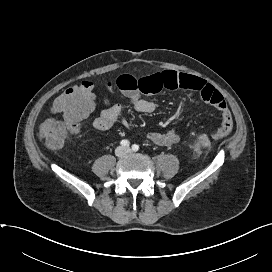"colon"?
Instances as JSON below:
<instances>
[{"instance_id": "obj_1", "label": "colon", "mask_w": 272, "mask_h": 272, "mask_svg": "<svg viewBox=\"0 0 272 272\" xmlns=\"http://www.w3.org/2000/svg\"><path fill=\"white\" fill-rule=\"evenodd\" d=\"M95 94L93 83L83 80L80 84L65 89L54 101L52 110L62 118L52 116L45 120L39 128V134L49 149H57L65 140L77 132L79 122L93 109ZM211 139L207 135L197 137L196 150L208 148Z\"/></svg>"}]
</instances>
